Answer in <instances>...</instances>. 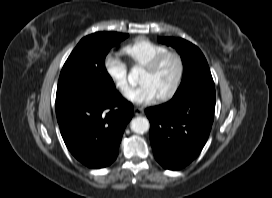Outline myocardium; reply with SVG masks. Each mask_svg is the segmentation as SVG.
Listing matches in <instances>:
<instances>
[{
  "instance_id": "1",
  "label": "myocardium",
  "mask_w": 272,
  "mask_h": 198,
  "mask_svg": "<svg viewBox=\"0 0 272 198\" xmlns=\"http://www.w3.org/2000/svg\"><path fill=\"white\" fill-rule=\"evenodd\" d=\"M174 58L178 64V72H177V76L176 79L173 83V85L171 86V88L164 94L158 96V100L160 101H166L171 99L179 90L183 78H184V71H185V67H184V61L182 56L174 51H165L163 53H160L159 55H157L156 57H154L144 68L145 70L149 71V72H154L156 71L161 65L162 63L168 59V58Z\"/></svg>"
}]
</instances>
